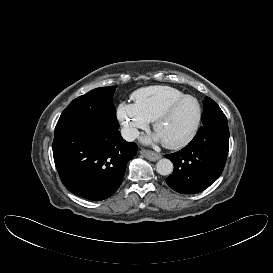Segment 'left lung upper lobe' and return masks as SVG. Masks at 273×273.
Masks as SVG:
<instances>
[{
	"label": "left lung upper lobe",
	"mask_w": 273,
	"mask_h": 273,
	"mask_svg": "<svg viewBox=\"0 0 273 273\" xmlns=\"http://www.w3.org/2000/svg\"><path fill=\"white\" fill-rule=\"evenodd\" d=\"M203 113L201 120L203 127H211L220 124H227V118L220 107L211 98L206 97L203 101Z\"/></svg>",
	"instance_id": "obj_1"
}]
</instances>
